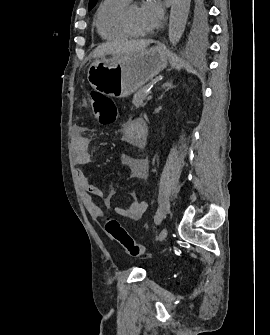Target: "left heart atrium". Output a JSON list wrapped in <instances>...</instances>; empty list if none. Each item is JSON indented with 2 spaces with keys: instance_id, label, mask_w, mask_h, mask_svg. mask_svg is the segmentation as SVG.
<instances>
[{
  "instance_id": "obj_1",
  "label": "left heart atrium",
  "mask_w": 270,
  "mask_h": 335,
  "mask_svg": "<svg viewBox=\"0 0 270 335\" xmlns=\"http://www.w3.org/2000/svg\"><path fill=\"white\" fill-rule=\"evenodd\" d=\"M164 21V11L158 1L148 0L141 7V23L143 32L154 33L163 26Z\"/></svg>"
}]
</instances>
